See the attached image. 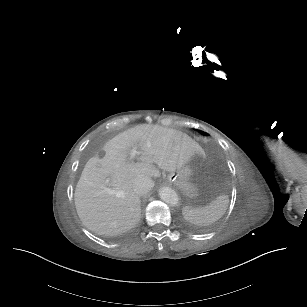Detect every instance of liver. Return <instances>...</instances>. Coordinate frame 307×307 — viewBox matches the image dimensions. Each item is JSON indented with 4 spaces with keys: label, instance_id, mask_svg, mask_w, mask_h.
Wrapping results in <instances>:
<instances>
[{
    "label": "liver",
    "instance_id": "1",
    "mask_svg": "<svg viewBox=\"0 0 307 307\" xmlns=\"http://www.w3.org/2000/svg\"><path fill=\"white\" fill-rule=\"evenodd\" d=\"M139 147L141 162H128L130 149ZM103 158H90L76 185L74 200L83 225L98 235H118L132 229L141 216V201L133 191L136 177H160L159 169L174 172L198 151L188 134L158 124L129 128L103 147ZM103 187L111 189L104 192Z\"/></svg>",
    "mask_w": 307,
    "mask_h": 307
}]
</instances>
